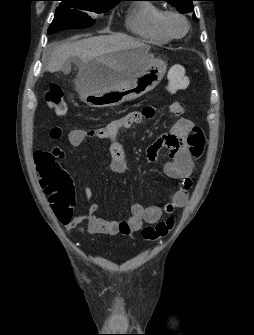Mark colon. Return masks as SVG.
I'll return each mask as SVG.
<instances>
[{
    "label": "colon",
    "instance_id": "5ec220e1",
    "mask_svg": "<svg viewBox=\"0 0 254 335\" xmlns=\"http://www.w3.org/2000/svg\"><path fill=\"white\" fill-rule=\"evenodd\" d=\"M189 79L183 65H173L168 72L167 90L175 93L187 88ZM46 101L51 110L57 115H64L67 112V104L64 92L59 86H52L46 92ZM181 108V106H180ZM189 152L194 158L201 156L206 138L198 129L194 128L187 138ZM61 154L58 147H53L49 151L35 152L37 171L40 176L41 186L44 192L52 200V209L57 216L62 213L64 206L72 207V189L67 172L60 166L57 159ZM174 219L172 217L157 222L155 225H148L143 228L142 234L146 240L154 241L165 237L173 228Z\"/></svg>",
    "mask_w": 254,
    "mask_h": 335
}]
</instances>
